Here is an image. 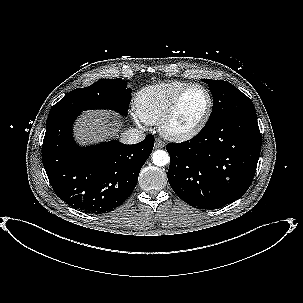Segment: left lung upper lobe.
<instances>
[{"label":"left lung upper lobe","instance_id":"obj_1","mask_svg":"<svg viewBox=\"0 0 303 303\" xmlns=\"http://www.w3.org/2000/svg\"><path fill=\"white\" fill-rule=\"evenodd\" d=\"M202 81L209 85L213 96V109L206 124L255 112L252 101L229 82L211 79Z\"/></svg>","mask_w":303,"mask_h":303}]
</instances>
